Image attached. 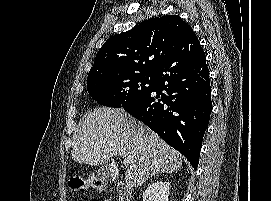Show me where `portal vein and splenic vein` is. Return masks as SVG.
Segmentation results:
<instances>
[{"label": "portal vein and splenic vein", "instance_id": "18ae733b", "mask_svg": "<svg viewBox=\"0 0 271 201\" xmlns=\"http://www.w3.org/2000/svg\"><path fill=\"white\" fill-rule=\"evenodd\" d=\"M130 164V159L124 158L123 159V165L128 166Z\"/></svg>", "mask_w": 271, "mask_h": 201}]
</instances>
